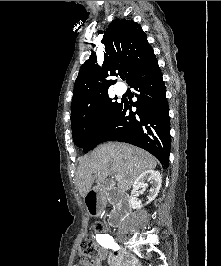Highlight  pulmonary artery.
<instances>
[{
  "label": "pulmonary artery",
  "mask_w": 221,
  "mask_h": 266,
  "mask_svg": "<svg viewBox=\"0 0 221 266\" xmlns=\"http://www.w3.org/2000/svg\"><path fill=\"white\" fill-rule=\"evenodd\" d=\"M115 91H116V93L118 94V95H121V94H123L124 93V88H115Z\"/></svg>",
  "instance_id": "e3ab8cb5"
}]
</instances>
